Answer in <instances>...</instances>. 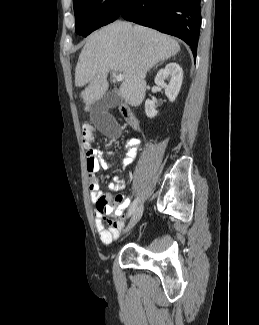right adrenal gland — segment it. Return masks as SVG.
I'll return each instance as SVG.
<instances>
[{"label": "right adrenal gland", "instance_id": "right-adrenal-gland-1", "mask_svg": "<svg viewBox=\"0 0 259 325\" xmlns=\"http://www.w3.org/2000/svg\"><path fill=\"white\" fill-rule=\"evenodd\" d=\"M160 64H162V63H160ZM160 64H158V65H160ZM158 65H156L155 68H157Z\"/></svg>", "mask_w": 259, "mask_h": 325}]
</instances>
